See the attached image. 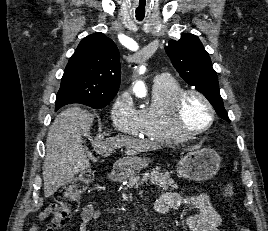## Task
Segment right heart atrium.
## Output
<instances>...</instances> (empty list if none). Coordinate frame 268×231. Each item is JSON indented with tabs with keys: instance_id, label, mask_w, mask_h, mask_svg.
<instances>
[{
	"instance_id": "1",
	"label": "right heart atrium",
	"mask_w": 268,
	"mask_h": 231,
	"mask_svg": "<svg viewBox=\"0 0 268 231\" xmlns=\"http://www.w3.org/2000/svg\"><path fill=\"white\" fill-rule=\"evenodd\" d=\"M110 114L118 131L133 136L141 133L140 110L136 108L129 91H122L116 96Z\"/></svg>"
}]
</instances>
